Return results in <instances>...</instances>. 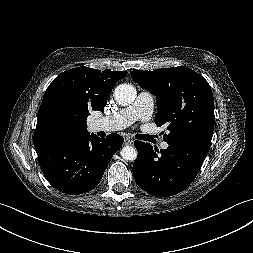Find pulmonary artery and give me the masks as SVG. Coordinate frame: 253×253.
<instances>
[{
	"label": "pulmonary artery",
	"instance_id": "pulmonary-artery-1",
	"mask_svg": "<svg viewBox=\"0 0 253 253\" xmlns=\"http://www.w3.org/2000/svg\"><path fill=\"white\" fill-rule=\"evenodd\" d=\"M154 108V99L151 93L147 91H142L138 94L135 101L125 107L120 109L118 112L110 115L104 116L95 121L94 126L96 130L103 131H116L124 129L134 122L147 121L151 118ZM161 149H167L168 143L161 142Z\"/></svg>",
	"mask_w": 253,
	"mask_h": 253
}]
</instances>
